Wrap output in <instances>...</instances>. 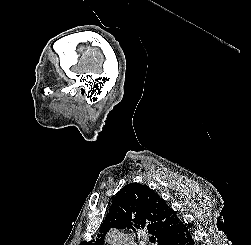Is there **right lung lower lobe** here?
Wrapping results in <instances>:
<instances>
[{"label":"right lung lower lobe","instance_id":"1","mask_svg":"<svg viewBox=\"0 0 251 245\" xmlns=\"http://www.w3.org/2000/svg\"><path fill=\"white\" fill-rule=\"evenodd\" d=\"M163 245H194V241L188 229L184 228L177 236L166 241Z\"/></svg>","mask_w":251,"mask_h":245}]
</instances>
